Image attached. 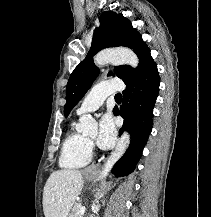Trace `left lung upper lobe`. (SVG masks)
I'll return each instance as SVG.
<instances>
[{
	"mask_svg": "<svg viewBox=\"0 0 211 217\" xmlns=\"http://www.w3.org/2000/svg\"><path fill=\"white\" fill-rule=\"evenodd\" d=\"M125 46L133 49L139 58V65L132 69L128 65L117 66L114 73L125 83L133 80L155 62L141 35L132 27L131 22L122 14L105 11L100 16V26L95 29L92 46L86 58L72 72L66 88L64 115L67 117L73 107L81 100L99 74L93 62V56L108 47Z\"/></svg>",
	"mask_w": 211,
	"mask_h": 217,
	"instance_id": "5c2ea615",
	"label": "left lung upper lobe"
}]
</instances>
